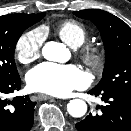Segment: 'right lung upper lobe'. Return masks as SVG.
I'll return each instance as SVG.
<instances>
[{"instance_id":"1","label":"right lung upper lobe","mask_w":131,"mask_h":131,"mask_svg":"<svg viewBox=\"0 0 131 131\" xmlns=\"http://www.w3.org/2000/svg\"><path fill=\"white\" fill-rule=\"evenodd\" d=\"M45 16V13H39V14H11V15H5L0 17H6V18H13V19H19V20H32V21H40Z\"/></svg>"}]
</instances>
